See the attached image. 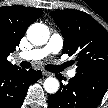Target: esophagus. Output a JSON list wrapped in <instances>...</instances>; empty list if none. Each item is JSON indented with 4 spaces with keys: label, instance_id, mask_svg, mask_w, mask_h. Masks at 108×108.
Returning <instances> with one entry per match:
<instances>
[{
    "label": "esophagus",
    "instance_id": "obj_1",
    "mask_svg": "<svg viewBox=\"0 0 108 108\" xmlns=\"http://www.w3.org/2000/svg\"><path fill=\"white\" fill-rule=\"evenodd\" d=\"M42 73L44 76H52L53 75L52 73L45 71V70H43Z\"/></svg>",
    "mask_w": 108,
    "mask_h": 108
}]
</instances>
